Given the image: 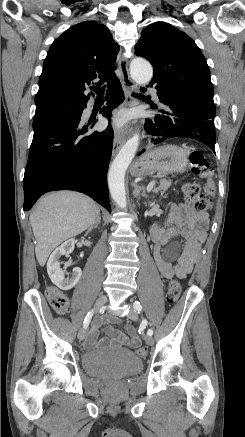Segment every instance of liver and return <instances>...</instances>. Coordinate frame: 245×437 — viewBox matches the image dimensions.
I'll use <instances>...</instances> for the list:
<instances>
[{
    "instance_id": "obj_1",
    "label": "liver",
    "mask_w": 245,
    "mask_h": 437,
    "mask_svg": "<svg viewBox=\"0 0 245 437\" xmlns=\"http://www.w3.org/2000/svg\"><path fill=\"white\" fill-rule=\"evenodd\" d=\"M99 213L93 200L77 192L61 191L44 196L30 215L40 266L45 265L59 244L91 227Z\"/></svg>"
}]
</instances>
